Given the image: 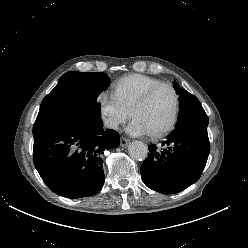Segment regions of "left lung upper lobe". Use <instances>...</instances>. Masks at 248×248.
Listing matches in <instances>:
<instances>
[{
	"instance_id": "left-lung-upper-lobe-1",
	"label": "left lung upper lobe",
	"mask_w": 248,
	"mask_h": 248,
	"mask_svg": "<svg viewBox=\"0 0 248 248\" xmlns=\"http://www.w3.org/2000/svg\"><path fill=\"white\" fill-rule=\"evenodd\" d=\"M174 89L179 95L180 112L176 128L189 125H208V117L198 99L183 90L174 82Z\"/></svg>"
}]
</instances>
